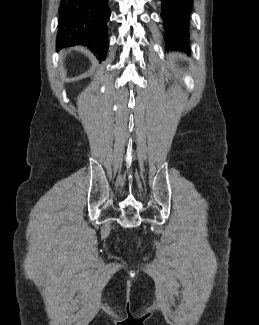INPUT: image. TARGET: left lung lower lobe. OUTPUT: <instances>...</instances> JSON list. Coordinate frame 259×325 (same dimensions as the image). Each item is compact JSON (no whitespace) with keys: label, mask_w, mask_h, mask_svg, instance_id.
<instances>
[{"label":"left lung lower lobe","mask_w":259,"mask_h":325,"mask_svg":"<svg viewBox=\"0 0 259 325\" xmlns=\"http://www.w3.org/2000/svg\"><path fill=\"white\" fill-rule=\"evenodd\" d=\"M164 39L168 48H184L190 37V13L193 0H161Z\"/></svg>","instance_id":"left-lung-lower-lobe-1"}]
</instances>
